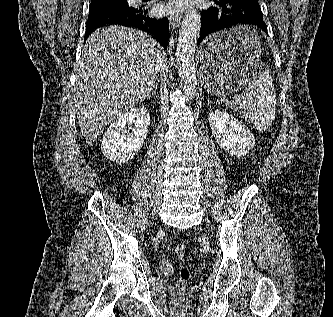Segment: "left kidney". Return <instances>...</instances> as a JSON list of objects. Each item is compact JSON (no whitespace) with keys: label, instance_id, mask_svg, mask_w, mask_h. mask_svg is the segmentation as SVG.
Segmentation results:
<instances>
[{"label":"left kidney","instance_id":"1","mask_svg":"<svg viewBox=\"0 0 333 317\" xmlns=\"http://www.w3.org/2000/svg\"><path fill=\"white\" fill-rule=\"evenodd\" d=\"M208 120L216 142L230 155L244 156L254 147L255 138L251 131L228 112L213 110L208 114Z\"/></svg>","mask_w":333,"mask_h":317}]
</instances>
